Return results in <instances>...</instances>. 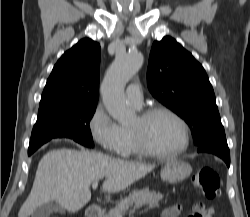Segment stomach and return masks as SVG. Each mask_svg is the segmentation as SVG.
Segmentation results:
<instances>
[{"instance_id": "1", "label": "stomach", "mask_w": 250, "mask_h": 217, "mask_svg": "<svg viewBox=\"0 0 250 217\" xmlns=\"http://www.w3.org/2000/svg\"><path fill=\"white\" fill-rule=\"evenodd\" d=\"M192 167L184 161H170L161 170V179L169 183H179L190 176Z\"/></svg>"}]
</instances>
